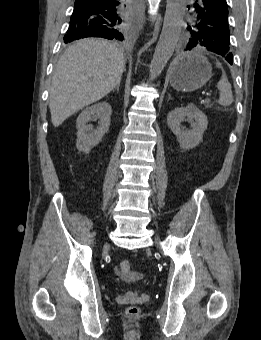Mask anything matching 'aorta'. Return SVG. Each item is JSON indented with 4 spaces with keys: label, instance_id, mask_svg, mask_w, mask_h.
<instances>
[{
    "label": "aorta",
    "instance_id": "1",
    "mask_svg": "<svg viewBox=\"0 0 261 340\" xmlns=\"http://www.w3.org/2000/svg\"><path fill=\"white\" fill-rule=\"evenodd\" d=\"M185 0H167L163 28L152 62L150 78H157L171 58L180 37Z\"/></svg>",
    "mask_w": 261,
    "mask_h": 340
}]
</instances>
